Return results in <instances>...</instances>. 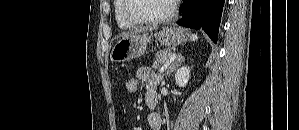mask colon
I'll list each match as a JSON object with an SVG mask.
<instances>
[{
  "mask_svg": "<svg viewBox=\"0 0 299 130\" xmlns=\"http://www.w3.org/2000/svg\"><path fill=\"white\" fill-rule=\"evenodd\" d=\"M138 87H139V80L137 78V75H132L128 77V79L125 82L126 92L129 95H133L137 92Z\"/></svg>",
  "mask_w": 299,
  "mask_h": 130,
  "instance_id": "5ec220e1",
  "label": "colon"
}]
</instances>
